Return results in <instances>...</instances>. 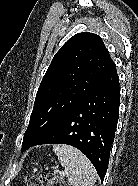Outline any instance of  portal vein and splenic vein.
I'll return each mask as SVG.
<instances>
[{
    "instance_id": "1",
    "label": "portal vein and splenic vein",
    "mask_w": 138,
    "mask_h": 186,
    "mask_svg": "<svg viewBox=\"0 0 138 186\" xmlns=\"http://www.w3.org/2000/svg\"><path fill=\"white\" fill-rule=\"evenodd\" d=\"M59 174H60V176H65L66 175V171H60Z\"/></svg>"
}]
</instances>
